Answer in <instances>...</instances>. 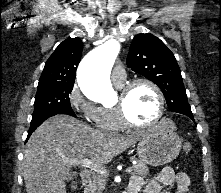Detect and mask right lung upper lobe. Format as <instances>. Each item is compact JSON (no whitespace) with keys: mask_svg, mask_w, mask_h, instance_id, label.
Returning a JSON list of instances; mask_svg holds the SVG:
<instances>
[{"mask_svg":"<svg viewBox=\"0 0 221 193\" xmlns=\"http://www.w3.org/2000/svg\"><path fill=\"white\" fill-rule=\"evenodd\" d=\"M83 43L79 38L63 41L47 60L38 86L74 85Z\"/></svg>","mask_w":221,"mask_h":193,"instance_id":"cb5924a9","label":"right lung upper lobe"}]
</instances>
